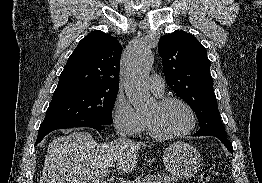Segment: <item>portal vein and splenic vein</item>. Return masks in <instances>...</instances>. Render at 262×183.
Wrapping results in <instances>:
<instances>
[{"label": "portal vein and splenic vein", "instance_id": "1", "mask_svg": "<svg viewBox=\"0 0 262 183\" xmlns=\"http://www.w3.org/2000/svg\"><path fill=\"white\" fill-rule=\"evenodd\" d=\"M109 175V170H106V171H103L100 175V177H107ZM122 183H131V182H128V181H123Z\"/></svg>", "mask_w": 262, "mask_h": 183}]
</instances>
